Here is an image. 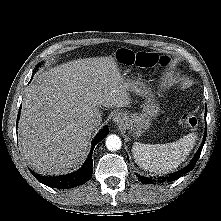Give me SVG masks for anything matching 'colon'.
Wrapping results in <instances>:
<instances>
[{
    "instance_id": "colon-1",
    "label": "colon",
    "mask_w": 221,
    "mask_h": 221,
    "mask_svg": "<svg viewBox=\"0 0 221 221\" xmlns=\"http://www.w3.org/2000/svg\"><path fill=\"white\" fill-rule=\"evenodd\" d=\"M118 60L126 65H136L140 68H151L156 64L160 63L165 65L167 59L164 57H159L155 53L149 52H139L135 53L128 49H120L117 53ZM184 124L188 128H194L197 125L196 117L188 113L184 117Z\"/></svg>"
}]
</instances>
